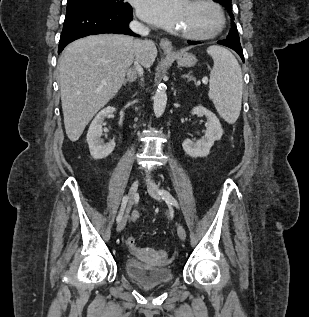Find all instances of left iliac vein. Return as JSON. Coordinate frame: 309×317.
Listing matches in <instances>:
<instances>
[{
    "mask_svg": "<svg viewBox=\"0 0 309 317\" xmlns=\"http://www.w3.org/2000/svg\"><path fill=\"white\" fill-rule=\"evenodd\" d=\"M147 190H148V193L156 200L160 201L161 200V195L159 193V189H158V186L153 183V182H150L148 185H147ZM177 233H178V236L181 240H185L186 239V231H185V228L181 225V224H178L177 225Z\"/></svg>",
    "mask_w": 309,
    "mask_h": 317,
    "instance_id": "left-iliac-vein-1",
    "label": "left iliac vein"
}]
</instances>
